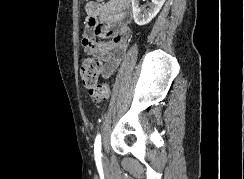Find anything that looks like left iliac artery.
<instances>
[{"label":"left iliac artery","instance_id":"44dca946","mask_svg":"<svg viewBox=\"0 0 244 179\" xmlns=\"http://www.w3.org/2000/svg\"><path fill=\"white\" fill-rule=\"evenodd\" d=\"M94 153H95V156H102V153H101V135L100 134H98L96 139H95Z\"/></svg>","mask_w":244,"mask_h":179}]
</instances>
